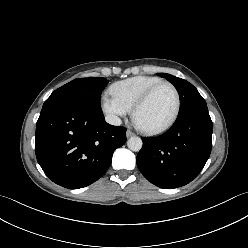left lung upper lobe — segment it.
Segmentation results:
<instances>
[{
    "label": "left lung upper lobe",
    "instance_id": "5c2ea615",
    "mask_svg": "<svg viewBox=\"0 0 248 248\" xmlns=\"http://www.w3.org/2000/svg\"><path fill=\"white\" fill-rule=\"evenodd\" d=\"M160 76L169 80L177 89L180 97V110L178 117H181L191 110L206 105L205 100L197 89L188 81L167 73H159Z\"/></svg>",
    "mask_w": 248,
    "mask_h": 248
}]
</instances>
